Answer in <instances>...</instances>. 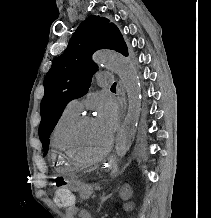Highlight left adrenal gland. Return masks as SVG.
<instances>
[{
  "label": "left adrenal gland",
  "mask_w": 211,
  "mask_h": 218,
  "mask_svg": "<svg viewBox=\"0 0 211 218\" xmlns=\"http://www.w3.org/2000/svg\"><path fill=\"white\" fill-rule=\"evenodd\" d=\"M110 196H112V194H108V196H105V192H103V196H101L100 200V204H99V208L98 210H101L102 208V204H104V202H107L108 198H110Z\"/></svg>",
  "instance_id": "a2214340"
}]
</instances>
